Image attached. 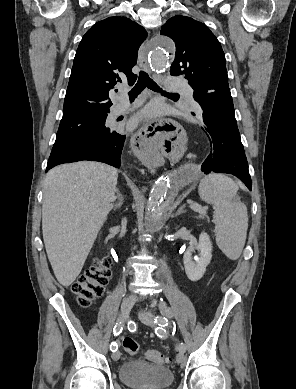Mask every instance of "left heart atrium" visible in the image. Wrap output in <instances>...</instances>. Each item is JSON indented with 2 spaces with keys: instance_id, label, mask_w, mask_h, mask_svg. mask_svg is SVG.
Wrapping results in <instances>:
<instances>
[{
  "instance_id": "39dd6f15",
  "label": "left heart atrium",
  "mask_w": 296,
  "mask_h": 389,
  "mask_svg": "<svg viewBox=\"0 0 296 389\" xmlns=\"http://www.w3.org/2000/svg\"><path fill=\"white\" fill-rule=\"evenodd\" d=\"M158 114V108L155 105L146 107L136 118V122L139 120L150 119Z\"/></svg>"
}]
</instances>
